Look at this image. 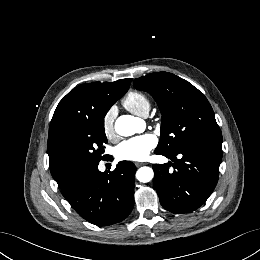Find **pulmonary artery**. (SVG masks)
Listing matches in <instances>:
<instances>
[{"instance_id": "pulmonary-artery-1", "label": "pulmonary artery", "mask_w": 260, "mask_h": 260, "mask_svg": "<svg viewBox=\"0 0 260 260\" xmlns=\"http://www.w3.org/2000/svg\"><path fill=\"white\" fill-rule=\"evenodd\" d=\"M148 115V113H145L143 116L146 117Z\"/></svg>"}]
</instances>
